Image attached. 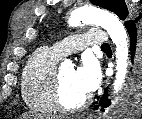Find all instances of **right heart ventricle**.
Wrapping results in <instances>:
<instances>
[{
  "instance_id": "e07e8e85",
  "label": "right heart ventricle",
  "mask_w": 142,
  "mask_h": 119,
  "mask_svg": "<svg viewBox=\"0 0 142 119\" xmlns=\"http://www.w3.org/2000/svg\"><path fill=\"white\" fill-rule=\"evenodd\" d=\"M59 58L52 48L41 47L27 61L22 72V97L31 109L40 112L55 111L52 83Z\"/></svg>"
}]
</instances>
